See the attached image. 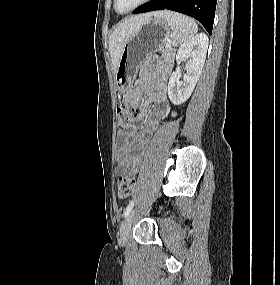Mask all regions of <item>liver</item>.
Instances as JSON below:
<instances>
[{"label": "liver", "mask_w": 280, "mask_h": 285, "mask_svg": "<svg viewBox=\"0 0 280 285\" xmlns=\"http://www.w3.org/2000/svg\"><path fill=\"white\" fill-rule=\"evenodd\" d=\"M156 14L157 12L133 16L117 25V27L111 33L109 37V51L114 72H116L125 44L145 21L149 20L153 15L155 16Z\"/></svg>", "instance_id": "1"}]
</instances>
